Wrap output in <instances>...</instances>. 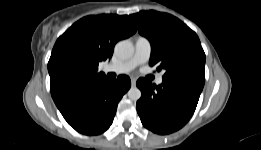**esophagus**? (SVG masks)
<instances>
[{
    "mask_svg": "<svg viewBox=\"0 0 261 150\" xmlns=\"http://www.w3.org/2000/svg\"><path fill=\"white\" fill-rule=\"evenodd\" d=\"M131 85L133 87L136 85V79L135 78H131Z\"/></svg>",
    "mask_w": 261,
    "mask_h": 150,
    "instance_id": "obj_1",
    "label": "esophagus"
}]
</instances>
